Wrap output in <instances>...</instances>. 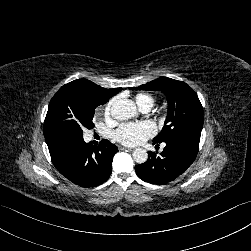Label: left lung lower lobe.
I'll use <instances>...</instances> for the list:
<instances>
[{"label": "left lung lower lobe", "mask_w": 251, "mask_h": 251, "mask_svg": "<svg viewBox=\"0 0 251 251\" xmlns=\"http://www.w3.org/2000/svg\"><path fill=\"white\" fill-rule=\"evenodd\" d=\"M165 143L160 154L148 152V160L135 166L136 174L143 181L152 184L173 181L188 169L198 153L199 140L193 138L175 137Z\"/></svg>", "instance_id": "1"}]
</instances>
